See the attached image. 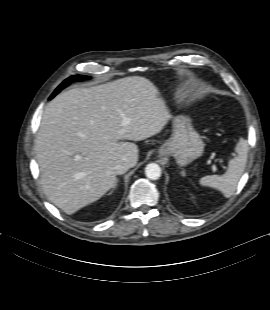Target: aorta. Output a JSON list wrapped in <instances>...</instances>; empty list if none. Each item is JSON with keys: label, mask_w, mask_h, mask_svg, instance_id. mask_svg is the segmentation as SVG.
I'll return each mask as SVG.
<instances>
[{"label": "aorta", "mask_w": 270, "mask_h": 310, "mask_svg": "<svg viewBox=\"0 0 270 310\" xmlns=\"http://www.w3.org/2000/svg\"><path fill=\"white\" fill-rule=\"evenodd\" d=\"M145 174L151 180H157L161 176V168L156 163H150L145 167Z\"/></svg>", "instance_id": "aorta-1"}]
</instances>
